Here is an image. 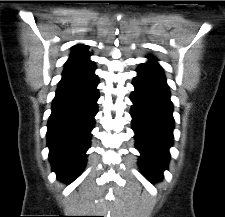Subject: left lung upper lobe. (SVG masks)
<instances>
[{"label":"left lung upper lobe","mask_w":225,"mask_h":217,"mask_svg":"<svg viewBox=\"0 0 225 217\" xmlns=\"http://www.w3.org/2000/svg\"><path fill=\"white\" fill-rule=\"evenodd\" d=\"M150 60H156L155 58H153V57H148Z\"/></svg>","instance_id":"left-lung-upper-lobe-1"}]
</instances>
